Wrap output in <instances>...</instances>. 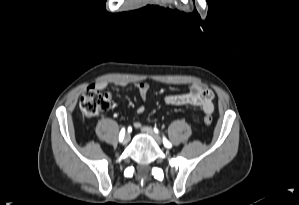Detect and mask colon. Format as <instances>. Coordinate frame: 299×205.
<instances>
[{"mask_svg": "<svg viewBox=\"0 0 299 205\" xmlns=\"http://www.w3.org/2000/svg\"><path fill=\"white\" fill-rule=\"evenodd\" d=\"M112 95L108 91H101L94 86H90L82 94L80 99V110L84 117L93 118L105 112L111 103ZM206 125L212 123V117L206 115L204 117Z\"/></svg>", "mask_w": 299, "mask_h": 205, "instance_id": "obj_1", "label": "colon"}]
</instances>
